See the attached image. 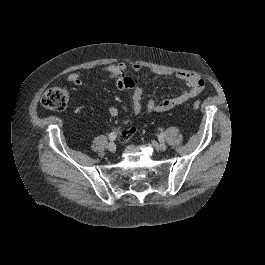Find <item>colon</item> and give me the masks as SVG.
I'll use <instances>...</instances> for the list:
<instances>
[{"mask_svg": "<svg viewBox=\"0 0 265 265\" xmlns=\"http://www.w3.org/2000/svg\"><path fill=\"white\" fill-rule=\"evenodd\" d=\"M70 99V93L66 88L53 87L48 89L41 98L42 105L53 111H62L66 108ZM200 102L195 101L193 108L198 109Z\"/></svg>", "mask_w": 265, "mask_h": 265, "instance_id": "1", "label": "colon"}]
</instances>
